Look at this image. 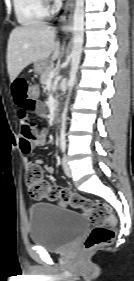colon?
Instances as JSON below:
<instances>
[{
	"label": "colon",
	"instance_id": "obj_1",
	"mask_svg": "<svg viewBox=\"0 0 134 281\" xmlns=\"http://www.w3.org/2000/svg\"><path fill=\"white\" fill-rule=\"evenodd\" d=\"M40 94L41 90L37 84H29L28 96L31 100H37ZM25 181L31 197L56 201L62 205L81 209L88 215L94 228L84 242L86 250L91 251L113 242L115 218L107 205L101 202H92L66 188L49 184L44 179L40 166L27 167Z\"/></svg>",
	"mask_w": 134,
	"mask_h": 281
}]
</instances>
